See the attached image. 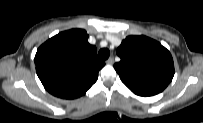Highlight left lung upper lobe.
<instances>
[{"label":"left lung upper lobe","mask_w":203,"mask_h":123,"mask_svg":"<svg viewBox=\"0 0 203 123\" xmlns=\"http://www.w3.org/2000/svg\"><path fill=\"white\" fill-rule=\"evenodd\" d=\"M121 61L114 64L121 81L136 95L162 92L174 76L170 52L146 36H128L117 49Z\"/></svg>","instance_id":"obj_1"}]
</instances>
